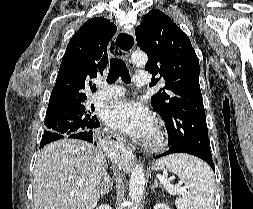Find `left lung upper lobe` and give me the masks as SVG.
I'll return each instance as SVG.
<instances>
[{
	"label": "left lung upper lobe",
	"instance_id": "obj_1",
	"mask_svg": "<svg viewBox=\"0 0 253 209\" xmlns=\"http://www.w3.org/2000/svg\"><path fill=\"white\" fill-rule=\"evenodd\" d=\"M135 35L138 46L148 55L149 86L165 81L164 88L151 97V105L166 124L170 148L210 155L199 60L189 37L158 10L144 16Z\"/></svg>",
	"mask_w": 253,
	"mask_h": 209
}]
</instances>
